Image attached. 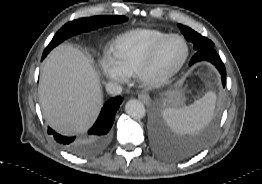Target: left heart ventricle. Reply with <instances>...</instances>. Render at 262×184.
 <instances>
[{
    "mask_svg": "<svg viewBox=\"0 0 262 184\" xmlns=\"http://www.w3.org/2000/svg\"><path fill=\"white\" fill-rule=\"evenodd\" d=\"M184 45L179 39H171L161 51L154 68V72L163 73L175 66L184 55Z\"/></svg>",
    "mask_w": 262,
    "mask_h": 184,
    "instance_id": "b2bd125f",
    "label": "left heart ventricle"
}]
</instances>
